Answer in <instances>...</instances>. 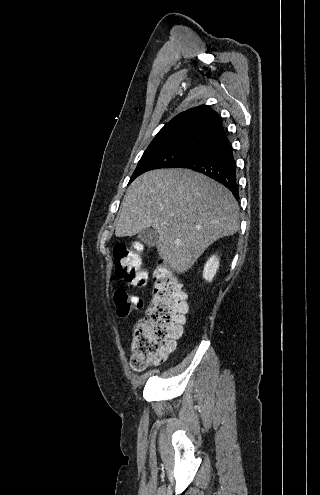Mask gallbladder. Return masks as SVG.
<instances>
[{"instance_id":"gallbladder-1","label":"gallbladder","mask_w":320,"mask_h":495,"mask_svg":"<svg viewBox=\"0 0 320 495\" xmlns=\"http://www.w3.org/2000/svg\"><path fill=\"white\" fill-rule=\"evenodd\" d=\"M138 238L149 246L155 245L159 240V234L156 229L148 227L140 231Z\"/></svg>"}]
</instances>
